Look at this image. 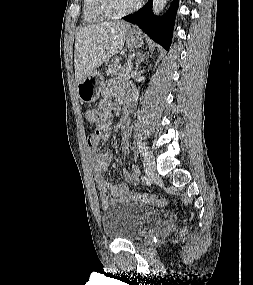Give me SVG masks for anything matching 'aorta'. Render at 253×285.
Here are the masks:
<instances>
[{
  "label": "aorta",
  "instance_id": "obj_1",
  "mask_svg": "<svg viewBox=\"0 0 253 285\" xmlns=\"http://www.w3.org/2000/svg\"><path fill=\"white\" fill-rule=\"evenodd\" d=\"M168 0H153L152 12L154 15H159L164 7L166 6Z\"/></svg>",
  "mask_w": 253,
  "mask_h": 285
}]
</instances>
